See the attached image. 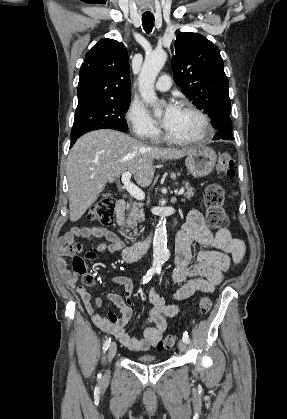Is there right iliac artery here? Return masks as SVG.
<instances>
[{"label":"right iliac artery","instance_id":"right-iliac-artery-1","mask_svg":"<svg viewBox=\"0 0 287 419\" xmlns=\"http://www.w3.org/2000/svg\"><path fill=\"white\" fill-rule=\"evenodd\" d=\"M155 270H149L146 275L143 277L141 283H147L152 278V276L155 274ZM111 338L106 339V341L103 344V350L106 351L108 347L110 346ZM98 377H101V374H98Z\"/></svg>","mask_w":287,"mask_h":419}]
</instances>
